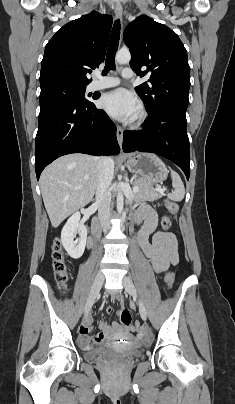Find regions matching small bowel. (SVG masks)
<instances>
[{
  "label": "small bowel",
  "mask_w": 235,
  "mask_h": 404,
  "mask_svg": "<svg viewBox=\"0 0 235 404\" xmlns=\"http://www.w3.org/2000/svg\"><path fill=\"white\" fill-rule=\"evenodd\" d=\"M140 218L144 224L138 235V243L145 256L151 262V265L156 273H166L170 267L176 265L179 261L178 242L174 234L170 232H157L153 235L152 242L148 241L149 235L156 228L155 212L144 206L140 209ZM134 309V307H131ZM108 314L112 313V308H106ZM100 332L96 335H91L92 322L88 319L79 328L80 343L82 346L88 347L91 344L110 345L113 340H118V336L128 337L129 329L123 327L120 323L114 322L109 325L107 322L99 323Z\"/></svg>",
  "instance_id": "obj_1"
}]
</instances>
